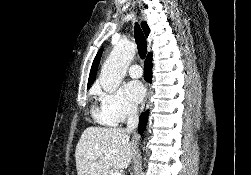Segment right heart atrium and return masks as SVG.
<instances>
[{"mask_svg": "<svg viewBox=\"0 0 251 175\" xmlns=\"http://www.w3.org/2000/svg\"><path fill=\"white\" fill-rule=\"evenodd\" d=\"M96 98L100 104V112L110 123L120 124L135 118L138 114L137 107L125 98L121 90L107 92L98 89Z\"/></svg>", "mask_w": 251, "mask_h": 175, "instance_id": "1", "label": "right heart atrium"}]
</instances>
